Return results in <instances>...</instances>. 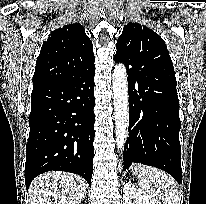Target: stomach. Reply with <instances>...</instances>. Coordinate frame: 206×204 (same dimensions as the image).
<instances>
[{"label": "stomach", "instance_id": "1", "mask_svg": "<svg viewBox=\"0 0 206 204\" xmlns=\"http://www.w3.org/2000/svg\"><path fill=\"white\" fill-rule=\"evenodd\" d=\"M140 170H141V167H135L134 169V174H138V176L140 175Z\"/></svg>", "mask_w": 206, "mask_h": 204}]
</instances>
